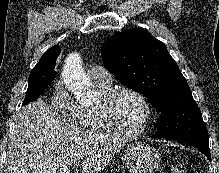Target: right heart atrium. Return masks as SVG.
Returning a JSON list of instances; mask_svg holds the SVG:
<instances>
[{"label": "right heart atrium", "instance_id": "obj_1", "mask_svg": "<svg viewBox=\"0 0 219 173\" xmlns=\"http://www.w3.org/2000/svg\"><path fill=\"white\" fill-rule=\"evenodd\" d=\"M51 104L61 115L78 122L79 107L71 98L63 81H58L55 84L51 93Z\"/></svg>", "mask_w": 219, "mask_h": 173}]
</instances>
